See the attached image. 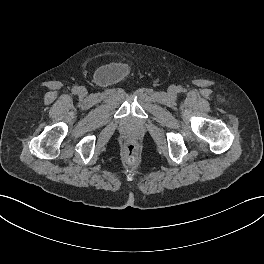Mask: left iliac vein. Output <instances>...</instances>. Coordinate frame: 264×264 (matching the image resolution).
<instances>
[{"instance_id": "left-iliac-vein-1", "label": "left iliac vein", "mask_w": 264, "mask_h": 264, "mask_svg": "<svg viewBox=\"0 0 264 264\" xmlns=\"http://www.w3.org/2000/svg\"><path fill=\"white\" fill-rule=\"evenodd\" d=\"M169 93H170L171 95H174V94L176 93V87H175V86H171V87L169 88Z\"/></svg>"}]
</instances>
